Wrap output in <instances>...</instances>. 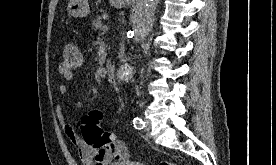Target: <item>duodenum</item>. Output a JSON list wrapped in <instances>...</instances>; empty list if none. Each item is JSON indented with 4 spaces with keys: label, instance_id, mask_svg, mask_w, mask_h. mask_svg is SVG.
Returning <instances> with one entry per match:
<instances>
[{
    "label": "duodenum",
    "instance_id": "obj_1",
    "mask_svg": "<svg viewBox=\"0 0 276 165\" xmlns=\"http://www.w3.org/2000/svg\"><path fill=\"white\" fill-rule=\"evenodd\" d=\"M105 74L109 81L114 79V65L112 63H107L105 66Z\"/></svg>",
    "mask_w": 276,
    "mask_h": 165
}]
</instances>
